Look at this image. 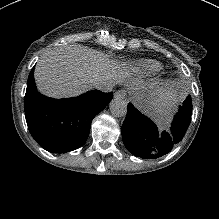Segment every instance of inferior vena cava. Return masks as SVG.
<instances>
[{
  "label": "inferior vena cava",
  "mask_w": 219,
  "mask_h": 219,
  "mask_svg": "<svg viewBox=\"0 0 219 219\" xmlns=\"http://www.w3.org/2000/svg\"><path fill=\"white\" fill-rule=\"evenodd\" d=\"M92 85L93 88L105 93L111 92L113 90L112 82L104 77L95 78Z\"/></svg>",
  "instance_id": "1"
}]
</instances>
